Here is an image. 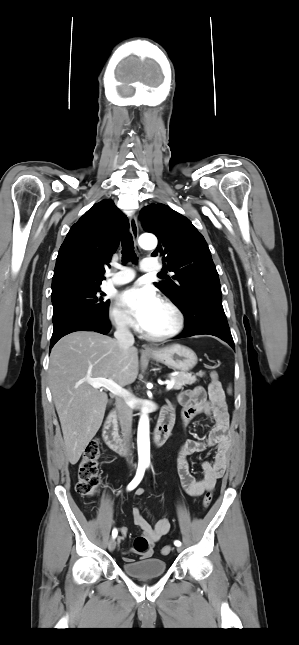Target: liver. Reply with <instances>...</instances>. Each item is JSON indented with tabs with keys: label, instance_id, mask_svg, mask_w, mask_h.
<instances>
[{
	"label": "liver",
	"instance_id": "liver-1",
	"mask_svg": "<svg viewBox=\"0 0 299 645\" xmlns=\"http://www.w3.org/2000/svg\"><path fill=\"white\" fill-rule=\"evenodd\" d=\"M138 350L96 332H73L52 348L49 382L61 423L65 452L74 465L99 430L108 396L89 379L105 378L123 387L138 375Z\"/></svg>",
	"mask_w": 299,
	"mask_h": 645
}]
</instances>
